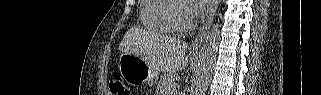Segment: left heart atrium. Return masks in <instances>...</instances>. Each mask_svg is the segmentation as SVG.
<instances>
[{
    "mask_svg": "<svg viewBox=\"0 0 321 95\" xmlns=\"http://www.w3.org/2000/svg\"><path fill=\"white\" fill-rule=\"evenodd\" d=\"M191 6L186 7V14L192 17H198L208 11L214 0H189Z\"/></svg>",
    "mask_w": 321,
    "mask_h": 95,
    "instance_id": "obj_1",
    "label": "left heart atrium"
}]
</instances>
